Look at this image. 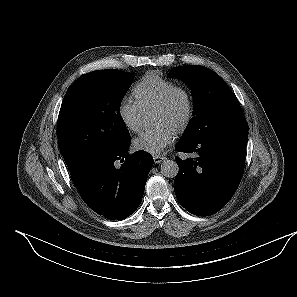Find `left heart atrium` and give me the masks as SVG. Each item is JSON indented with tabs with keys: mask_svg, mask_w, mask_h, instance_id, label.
Wrapping results in <instances>:
<instances>
[{
	"mask_svg": "<svg viewBox=\"0 0 297 297\" xmlns=\"http://www.w3.org/2000/svg\"><path fill=\"white\" fill-rule=\"evenodd\" d=\"M175 139V130L168 123H161L154 128L146 129L133 141L137 150L153 155L161 154Z\"/></svg>",
	"mask_w": 297,
	"mask_h": 297,
	"instance_id": "39dd6f15",
	"label": "left heart atrium"
}]
</instances>
